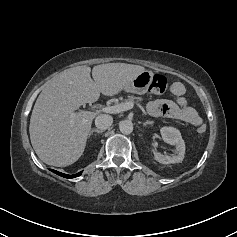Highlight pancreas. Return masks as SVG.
Masks as SVG:
<instances>
[{
    "label": "pancreas",
    "mask_w": 237,
    "mask_h": 237,
    "mask_svg": "<svg viewBox=\"0 0 237 237\" xmlns=\"http://www.w3.org/2000/svg\"><path fill=\"white\" fill-rule=\"evenodd\" d=\"M143 99L141 97H135V96H128V99L125 100V102H133L138 103L142 101Z\"/></svg>",
    "instance_id": "cf45deb5"
}]
</instances>
